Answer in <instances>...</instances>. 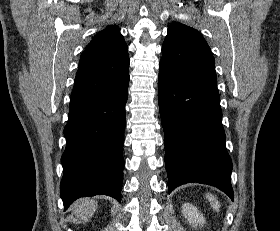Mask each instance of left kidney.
I'll list each match as a JSON object with an SVG mask.
<instances>
[{
    "instance_id": "left-kidney-1",
    "label": "left kidney",
    "mask_w": 280,
    "mask_h": 231,
    "mask_svg": "<svg viewBox=\"0 0 280 231\" xmlns=\"http://www.w3.org/2000/svg\"><path fill=\"white\" fill-rule=\"evenodd\" d=\"M182 213L184 217L188 219L192 227H196V225H204V223H206L203 213H200L193 203H183Z\"/></svg>"
}]
</instances>
